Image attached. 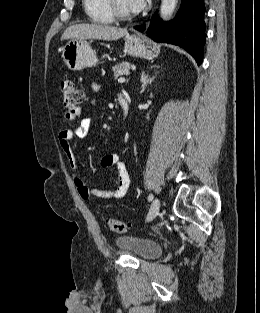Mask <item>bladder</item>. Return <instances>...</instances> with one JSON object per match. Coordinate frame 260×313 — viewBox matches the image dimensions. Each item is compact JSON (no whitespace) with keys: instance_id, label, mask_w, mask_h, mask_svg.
Returning <instances> with one entry per match:
<instances>
[{"instance_id":"bladder-1","label":"bladder","mask_w":260,"mask_h":313,"mask_svg":"<svg viewBox=\"0 0 260 313\" xmlns=\"http://www.w3.org/2000/svg\"><path fill=\"white\" fill-rule=\"evenodd\" d=\"M116 244L131 256L153 259L162 253L161 245L151 239L134 235H123L115 239Z\"/></svg>"}]
</instances>
